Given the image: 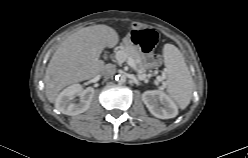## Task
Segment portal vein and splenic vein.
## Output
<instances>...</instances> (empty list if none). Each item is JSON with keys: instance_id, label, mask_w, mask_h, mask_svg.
Segmentation results:
<instances>
[{"instance_id": "obj_1", "label": "portal vein and splenic vein", "mask_w": 248, "mask_h": 158, "mask_svg": "<svg viewBox=\"0 0 248 158\" xmlns=\"http://www.w3.org/2000/svg\"><path fill=\"white\" fill-rule=\"evenodd\" d=\"M117 58L122 59V61H126L127 64H128L131 68L136 69L135 61H134L132 58H126L125 54H123L122 52L119 51V52L117 53ZM145 78H146V76L140 77V79H142V80H145ZM157 80H158V81H161V77H160V76L157 77Z\"/></svg>"}]
</instances>
